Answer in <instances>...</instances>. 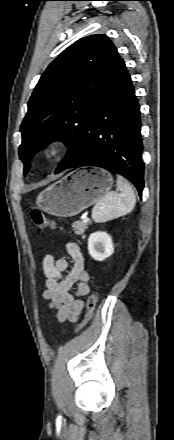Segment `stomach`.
<instances>
[{"label":"stomach","instance_id":"stomach-1","mask_svg":"<svg viewBox=\"0 0 174 440\" xmlns=\"http://www.w3.org/2000/svg\"><path fill=\"white\" fill-rule=\"evenodd\" d=\"M112 185L113 177L104 169H76L43 190L36 205L48 214L72 217L98 202Z\"/></svg>","mask_w":174,"mask_h":440}]
</instances>
